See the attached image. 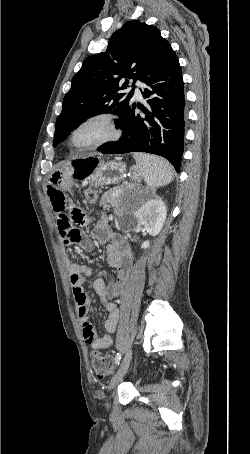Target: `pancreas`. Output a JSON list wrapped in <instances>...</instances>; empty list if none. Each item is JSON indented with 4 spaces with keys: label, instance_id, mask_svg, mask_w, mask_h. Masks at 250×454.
Here are the masks:
<instances>
[{
    "label": "pancreas",
    "instance_id": "cf45deb5",
    "mask_svg": "<svg viewBox=\"0 0 250 454\" xmlns=\"http://www.w3.org/2000/svg\"><path fill=\"white\" fill-rule=\"evenodd\" d=\"M118 202L119 193L117 189H111L102 196L100 206H103L104 209L108 210L111 206H117Z\"/></svg>",
    "mask_w": 250,
    "mask_h": 454
}]
</instances>
